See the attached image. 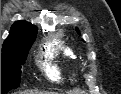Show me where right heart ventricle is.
<instances>
[{
	"instance_id": "e07e8e85",
	"label": "right heart ventricle",
	"mask_w": 121,
	"mask_h": 94,
	"mask_svg": "<svg viewBox=\"0 0 121 94\" xmlns=\"http://www.w3.org/2000/svg\"><path fill=\"white\" fill-rule=\"evenodd\" d=\"M45 57L50 61L45 64V72L49 79L52 81L60 80V68L58 62H63L65 64H72L76 55L73 49L67 45H65L60 40H53L47 45V49L45 51ZM61 60V61H56Z\"/></svg>"
}]
</instances>
